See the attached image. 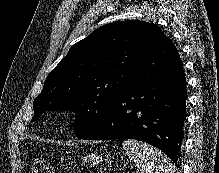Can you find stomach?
<instances>
[{
	"label": "stomach",
	"instance_id": "stomach-1",
	"mask_svg": "<svg viewBox=\"0 0 219 173\" xmlns=\"http://www.w3.org/2000/svg\"><path fill=\"white\" fill-rule=\"evenodd\" d=\"M81 159L83 160L84 163L88 164L90 167L97 166L100 162H102V157L96 153L81 156Z\"/></svg>",
	"mask_w": 219,
	"mask_h": 173
}]
</instances>
